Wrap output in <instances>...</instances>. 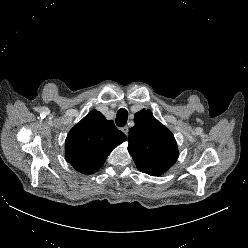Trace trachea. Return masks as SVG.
<instances>
[{
	"label": "trachea",
	"mask_w": 248,
	"mask_h": 248,
	"mask_svg": "<svg viewBox=\"0 0 248 248\" xmlns=\"http://www.w3.org/2000/svg\"><path fill=\"white\" fill-rule=\"evenodd\" d=\"M128 119V112L125 108H121L118 110L116 115V124L119 127L125 126Z\"/></svg>",
	"instance_id": "3493384b"
}]
</instances>
